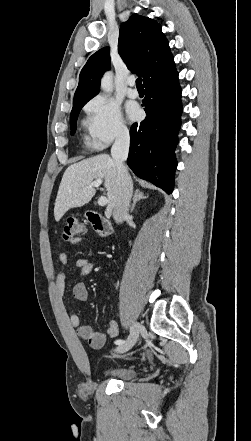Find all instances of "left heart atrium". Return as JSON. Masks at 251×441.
Masks as SVG:
<instances>
[{"mask_svg":"<svg viewBox=\"0 0 251 441\" xmlns=\"http://www.w3.org/2000/svg\"><path fill=\"white\" fill-rule=\"evenodd\" d=\"M127 113L131 120H136L140 117V109L135 104H131L127 107Z\"/></svg>","mask_w":251,"mask_h":441,"instance_id":"1","label":"left heart atrium"}]
</instances>
